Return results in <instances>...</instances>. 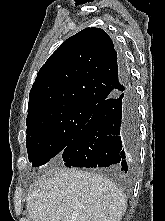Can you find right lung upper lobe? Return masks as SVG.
I'll use <instances>...</instances> for the list:
<instances>
[{"label": "right lung upper lobe", "instance_id": "cb5924a9", "mask_svg": "<svg viewBox=\"0 0 165 221\" xmlns=\"http://www.w3.org/2000/svg\"><path fill=\"white\" fill-rule=\"evenodd\" d=\"M126 81L108 34L100 28H86L62 43L39 70L27 118L60 106L95 107Z\"/></svg>", "mask_w": 165, "mask_h": 221}]
</instances>
